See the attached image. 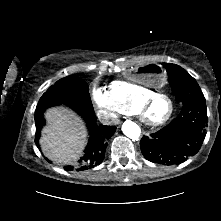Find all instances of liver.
Wrapping results in <instances>:
<instances>
[{"label":"liver","instance_id":"liver-1","mask_svg":"<svg viewBox=\"0 0 221 221\" xmlns=\"http://www.w3.org/2000/svg\"><path fill=\"white\" fill-rule=\"evenodd\" d=\"M48 125L39 141L46 157L58 163H72L85 146L86 128L81 119L64 107H53L45 113Z\"/></svg>","mask_w":221,"mask_h":221}]
</instances>
